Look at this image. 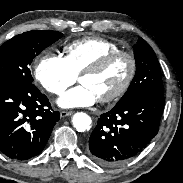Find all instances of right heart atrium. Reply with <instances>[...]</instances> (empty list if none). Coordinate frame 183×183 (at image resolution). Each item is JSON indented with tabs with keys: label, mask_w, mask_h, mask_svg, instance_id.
I'll list each match as a JSON object with an SVG mask.
<instances>
[{
	"label": "right heart atrium",
	"mask_w": 183,
	"mask_h": 183,
	"mask_svg": "<svg viewBox=\"0 0 183 183\" xmlns=\"http://www.w3.org/2000/svg\"><path fill=\"white\" fill-rule=\"evenodd\" d=\"M35 77L45 91L54 95L63 94L77 80L64 57L54 53H43L39 56Z\"/></svg>",
	"instance_id": "d8ad5b80"
}]
</instances>
